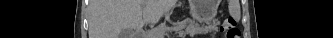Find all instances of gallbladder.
<instances>
[{"label":"gallbladder","instance_id":"bac80fb5","mask_svg":"<svg viewBox=\"0 0 333 38\" xmlns=\"http://www.w3.org/2000/svg\"><path fill=\"white\" fill-rule=\"evenodd\" d=\"M135 35V32L133 29L130 28H126L123 29L120 33V38H133V36Z\"/></svg>","mask_w":333,"mask_h":38}]
</instances>
